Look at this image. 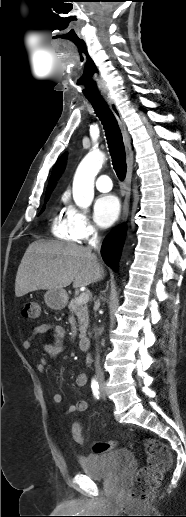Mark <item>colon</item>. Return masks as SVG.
<instances>
[{
    "label": "colon",
    "instance_id": "5ec220e1",
    "mask_svg": "<svg viewBox=\"0 0 186 517\" xmlns=\"http://www.w3.org/2000/svg\"><path fill=\"white\" fill-rule=\"evenodd\" d=\"M41 314L40 304L31 301L25 304L22 315L31 320H37ZM73 438L78 443H83L85 438L81 433L79 424L73 427ZM148 455V463L146 467L141 468L136 473L128 486V497L131 500H143L153 491L159 484L161 477L172 463L169 448L161 441L154 438H146L140 441ZM114 441H100L94 444L95 453H103L115 447Z\"/></svg>",
    "mask_w": 186,
    "mask_h": 517
}]
</instances>
